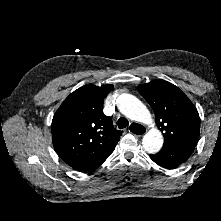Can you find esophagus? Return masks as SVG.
<instances>
[{
    "label": "esophagus",
    "instance_id": "34e87169",
    "mask_svg": "<svg viewBox=\"0 0 221 221\" xmlns=\"http://www.w3.org/2000/svg\"><path fill=\"white\" fill-rule=\"evenodd\" d=\"M129 132L131 134H133L134 136L141 137V136H143L145 134L146 129L142 125H140V124L132 123L130 125Z\"/></svg>",
    "mask_w": 221,
    "mask_h": 221
}]
</instances>
